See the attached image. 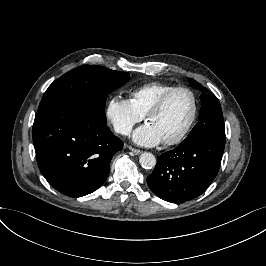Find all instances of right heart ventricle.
Instances as JSON below:
<instances>
[{
	"label": "right heart ventricle",
	"instance_id": "right-heart-ventricle-1",
	"mask_svg": "<svg viewBox=\"0 0 266 266\" xmlns=\"http://www.w3.org/2000/svg\"><path fill=\"white\" fill-rule=\"evenodd\" d=\"M174 86V84L165 82H148L134 88L130 93V100L136 110L145 116L161 94Z\"/></svg>",
	"mask_w": 266,
	"mask_h": 266
}]
</instances>
